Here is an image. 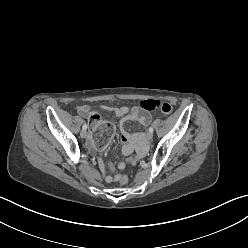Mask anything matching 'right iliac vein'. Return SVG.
<instances>
[{
  "mask_svg": "<svg viewBox=\"0 0 248 248\" xmlns=\"http://www.w3.org/2000/svg\"><path fill=\"white\" fill-rule=\"evenodd\" d=\"M80 135H81L82 138H86L88 134H87L86 130H82Z\"/></svg>",
  "mask_w": 248,
  "mask_h": 248,
  "instance_id": "right-iliac-vein-1",
  "label": "right iliac vein"
}]
</instances>
